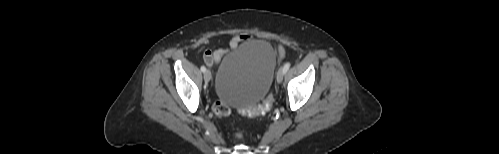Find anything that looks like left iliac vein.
I'll use <instances>...</instances> for the list:
<instances>
[{
  "instance_id": "4c4485c4",
  "label": "left iliac vein",
  "mask_w": 499,
  "mask_h": 154,
  "mask_svg": "<svg viewBox=\"0 0 499 154\" xmlns=\"http://www.w3.org/2000/svg\"><path fill=\"white\" fill-rule=\"evenodd\" d=\"M284 71H283V68H280L277 72V76H276V81L277 83H281L282 80H283V77H284Z\"/></svg>"
}]
</instances>
